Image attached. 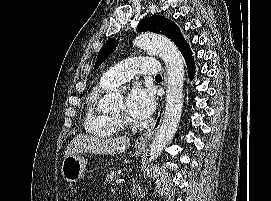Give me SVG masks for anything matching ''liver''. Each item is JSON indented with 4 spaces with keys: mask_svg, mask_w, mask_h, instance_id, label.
Returning a JSON list of instances; mask_svg holds the SVG:
<instances>
[{
    "mask_svg": "<svg viewBox=\"0 0 271 201\" xmlns=\"http://www.w3.org/2000/svg\"><path fill=\"white\" fill-rule=\"evenodd\" d=\"M130 146L128 137L99 138L96 136L79 134L75 136L65 151V158L79 153L117 154L126 151Z\"/></svg>",
    "mask_w": 271,
    "mask_h": 201,
    "instance_id": "liver-1",
    "label": "liver"
}]
</instances>
